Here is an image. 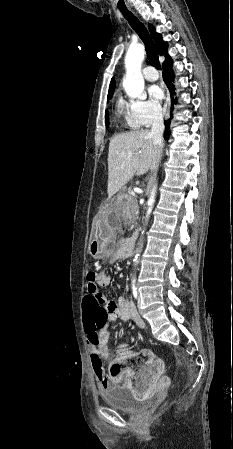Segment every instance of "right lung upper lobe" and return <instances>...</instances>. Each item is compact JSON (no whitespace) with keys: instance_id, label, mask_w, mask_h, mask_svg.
<instances>
[{"instance_id":"obj_1","label":"right lung upper lobe","mask_w":233,"mask_h":449,"mask_svg":"<svg viewBox=\"0 0 233 449\" xmlns=\"http://www.w3.org/2000/svg\"><path fill=\"white\" fill-rule=\"evenodd\" d=\"M149 31H150L152 38L155 41L158 53L165 57V61L163 62V65L172 62L171 57L168 55V45L166 42L163 41L161 34L157 33L155 31V28L151 24H149ZM114 89H115V79L112 78L111 82H110L108 94H113Z\"/></svg>"}]
</instances>
